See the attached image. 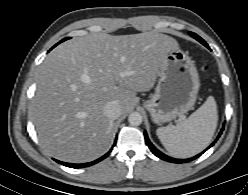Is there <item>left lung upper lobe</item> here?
<instances>
[{"label":"left lung upper lobe","mask_w":248,"mask_h":195,"mask_svg":"<svg viewBox=\"0 0 248 195\" xmlns=\"http://www.w3.org/2000/svg\"><path fill=\"white\" fill-rule=\"evenodd\" d=\"M193 38H195L196 40H198L200 43H202L203 45H207L206 42L200 37L198 36L197 34L193 33V32H190L189 33Z\"/></svg>","instance_id":"5c2ea615"}]
</instances>
